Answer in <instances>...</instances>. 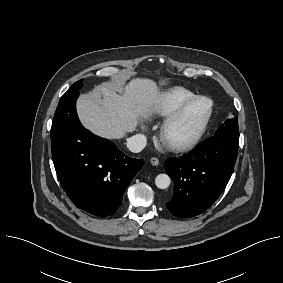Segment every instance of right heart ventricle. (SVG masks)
Instances as JSON below:
<instances>
[{"label":"right heart ventricle","mask_w":283,"mask_h":283,"mask_svg":"<svg viewBox=\"0 0 283 283\" xmlns=\"http://www.w3.org/2000/svg\"><path fill=\"white\" fill-rule=\"evenodd\" d=\"M194 96L195 93L184 87H172L157 97L152 106V114L155 117L167 118Z\"/></svg>","instance_id":"1"}]
</instances>
